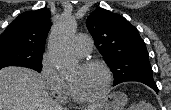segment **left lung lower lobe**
<instances>
[{"label":"left lung lower lobe","mask_w":171,"mask_h":110,"mask_svg":"<svg viewBox=\"0 0 171 110\" xmlns=\"http://www.w3.org/2000/svg\"><path fill=\"white\" fill-rule=\"evenodd\" d=\"M142 83L148 85V86L151 87L153 90H155L156 93H158V87H157V85H156L155 82H142Z\"/></svg>","instance_id":"1"}]
</instances>
